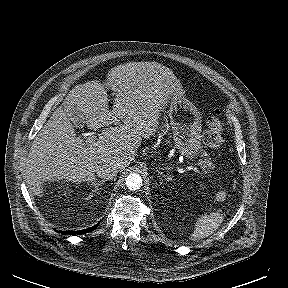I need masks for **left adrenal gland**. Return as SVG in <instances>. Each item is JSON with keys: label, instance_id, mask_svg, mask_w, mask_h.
<instances>
[{"label": "left adrenal gland", "instance_id": "obj_1", "mask_svg": "<svg viewBox=\"0 0 288 288\" xmlns=\"http://www.w3.org/2000/svg\"><path fill=\"white\" fill-rule=\"evenodd\" d=\"M158 174L162 175V177L165 179V180H172V176L170 174H165L164 172L160 171V170H157Z\"/></svg>", "mask_w": 288, "mask_h": 288}]
</instances>
